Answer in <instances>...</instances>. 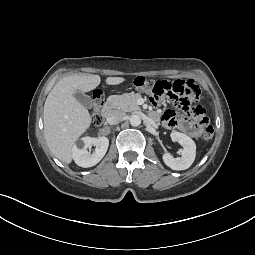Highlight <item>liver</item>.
I'll return each instance as SVG.
<instances>
[{"instance_id": "liver-1", "label": "liver", "mask_w": 255, "mask_h": 255, "mask_svg": "<svg viewBox=\"0 0 255 255\" xmlns=\"http://www.w3.org/2000/svg\"><path fill=\"white\" fill-rule=\"evenodd\" d=\"M100 76L72 74L53 87L44 104V136L52 154L64 163L72 161V146L90 127L88 110L75 98L78 91L89 92L100 84ZM125 81L123 77H107L108 85Z\"/></svg>"}]
</instances>
